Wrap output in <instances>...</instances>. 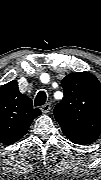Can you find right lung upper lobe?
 <instances>
[{"label": "right lung upper lobe", "instance_id": "cb5924a9", "mask_svg": "<svg viewBox=\"0 0 101 180\" xmlns=\"http://www.w3.org/2000/svg\"><path fill=\"white\" fill-rule=\"evenodd\" d=\"M41 111L33 108L32 100L18 90L13 80L0 87V142L10 145L19 141L27 132L33 119Z\"/></svg>", "mask_w": 101, "mask_h": 180}]
</instances>
